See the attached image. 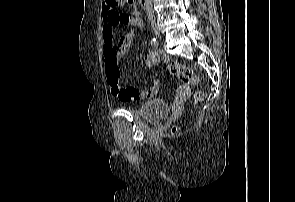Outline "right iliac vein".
Listing matches in <instances>:
<instances>
[{"label":"right iliac vein","mask_w":295,"mask_h":202,"mask_svg":"<svg viewBox=\"0 0 295 202\" xmlns=\"http://www.w3.org/2000/svg\"><path fill=\"white\" fill-rule=\"evenodd\" d=\"M152 30L157 37L160 36L161 30L160 27L156 24V22L152 23Z\"/></svg>","instance_id":"right-iliac-vein-1"}]
</instances>
